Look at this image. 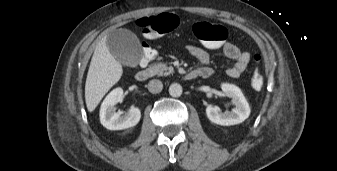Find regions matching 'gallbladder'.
<instances>
[{
  "label": "gallbladder",
  "mask_w": 337,
  "mask_h": 171,
  "mask_svg": "<svg viewBox=\"0 0 337 171\" xmlns=\"http://www.w3.org/2000/svg\"><path fill=\"white\" fill-rule=\"evenodd\" d=\"M110 53L122 64L136 66L142 57V48L138 38L126 29H118L107 36Z\"/></svg>",
  "instance_id": "obj_1"
}]
</instances>
